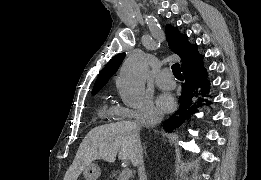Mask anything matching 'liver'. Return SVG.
<instances>
[{
	"instance_id": "liver-1",
	"label": "liver",
	"mask_w": 261,
	"mask_h": 180,
	"mask_svg": "<svg viewBox=\"0 0 261 180\" xmlns=\"http://www.w3.org/2000/svg\"><path fill=\"white\" fill-rule=\"evenodd\" d=\"M139 126L136 122H113L88 132L69 168V180H78L84 168L94 160L113 164L119 160H133L141 148Z\"/></svg>"
}]
</instances>
